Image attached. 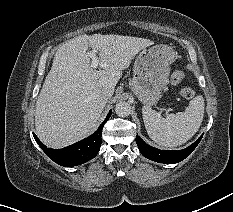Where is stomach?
Masks as SVG:
<instances>
[{
	"label": "stomach",
	"instance_id": "stomach-1",
	"mask_svg": "<svg viewBox=\"0 0 233 212\" xmlns=\"http://www.w3.org/2000/svg\"><path fill=\"white\" fill-rule=\"evenodd\" d=\"M174 57L173 48L164 44L143 48L137 55L130 88L144 105H154L161 98Z\"/></svg>",
	"mask_w": 233,
	"mask_h": 212
}]
</instances>
